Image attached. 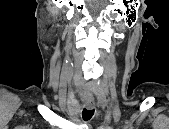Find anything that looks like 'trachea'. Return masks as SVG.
Instances as JSON below:
<instances>
[{"instance_id":"obj_1","label":"trachea","mask_w":169,"mask_h":129,"mask_svg":"<svg viewBox=\"0 0 169 129\" xmlns=\"http://www.w3.org/2000/svg\"><path fill=\"white\" fill-rule=\"evenodd\" d=\"M93 115H94V109L84 108L82 111V117H83V120H85V121L90 120Z\"/></svg>"}]
</instances>
